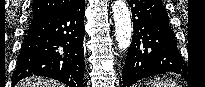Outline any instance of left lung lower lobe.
<instances>
[{
	"label": "left lung lower lobe",
	"mask_w": 205,
	"mask_h": 87,
	"mask_svg": "<svg viewBox=\"0 0 205 87\" xmlns=\"http://www.w3.org/2000/svg\"><path fill=\"white\" fill-rule=\"evenodd\" d=\"M133 17V38L123 67V87L169 71L186 73L177 40L161 0H127Z\"/></svg>",
	"instance_id": "1"
}]
</instances>
